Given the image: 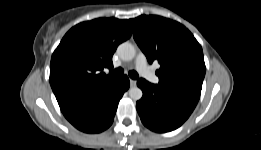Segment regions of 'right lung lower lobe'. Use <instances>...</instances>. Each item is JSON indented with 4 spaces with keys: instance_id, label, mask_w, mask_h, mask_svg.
Wrapping results in <instances>:
<instances>
[{
    "instance_id": "obj_1",
    "label": "right lung lower lobe",
    "mask_w": 261,
    "mask_h": 150,
    "mask_svg": "<svg viewBox=\"0 0 261 150\" xmlns=\"http://www.w3.org/2000/svg\"><path fill=\"white\" fill-rule=\"evenodd\" d=\"M129 86L128 77L122 76L117 87L66 116V119L86 133L104 131L112 124L118 103Z\"/></svg>"
}]
</instances>
